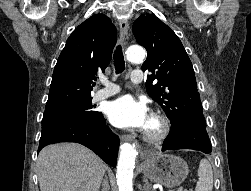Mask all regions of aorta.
<instances>
[{
	"label": "aorta",
	"instance_id": "762f6f07",
	"mask_svg": "<svg viewBox=\"0 0 251 191\" xmlns=\"http://www.w3.org/2000/svg\"><path fill=\"white\" fill-rule=\"evenodd\" d=\"M129 62H143L146 52L140 46H130L126 50ZM137 151L135 145L123 143L117 163V185L119 191H133L132 179Z\"/></svg>",
	"mask_w": 251,
	"mask_h": 191
}]
</instances>
